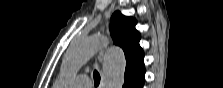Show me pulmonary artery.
<instances>
[{"mask_svg": "<svg viewBox=\"0 0 223 88\" xmlns=\"http://www.w3.org/2000/svg\"><path fill=\"white\" fill-rule=\"evenodd\" d=\"M74 85L78 88H88L92 85V82L87 75L83 74L75 79Z\"/></svg>", "mask_w": 223, "mask_h": 88, "instance_id": "1", "label": "pulmonary artery"}]
</instances>
